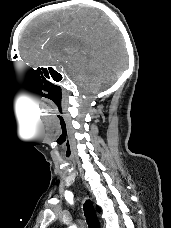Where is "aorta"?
<instances>
[{
    "mask_svg": "<svg viewBox=\"0 0 171 228\" xmlns=\"http://www.w3.org/2000/svg\"><path fill=\"white\" fill-rule=\"evenodd\" d=\"M69 228H76L75 226H71V227H69Z\"/></svg>",
    "mask_w": 171,
    "mask_h": 228,
    "instance_id": "1",
    "label": "aorta"
}]
</instances>
